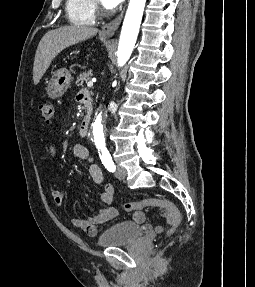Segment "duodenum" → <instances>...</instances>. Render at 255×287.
I'll return each instance as SVG.
<instances>
[{"instance_id":"duodenum-1","label":"duodenum","mask_w":255,"mask_h":287,"mask_svg":"<svg viewBox=\"0 0 255 287\" xmlns=\"http://www.w3.org/2000/svg\"><path fill=\"white\" fill-rule=\"evenodd\" d=\"M78 100L83 103L86 113L79 125L78 131L81 137H85L88 134L90 121H91V114H92V106L93 100L91 95L87 91H82L78 95Z\"/></svg>"}]
</instances>
